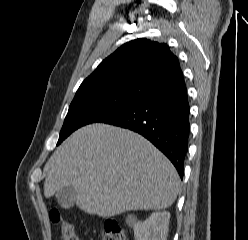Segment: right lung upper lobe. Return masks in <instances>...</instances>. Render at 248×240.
Segmentation results:
<instances>
[{
  "instance_id": "obj_1",
  "label": "right lung upper lobe",
  "mask_w": 248,
  "mask_h": 240,
  "mask_svg": "<svg viewBox=\"0 0 248 240\" xmlns=\"http://www.w3.org/2000/svg\"><path fill=\"white\" fill-rule=\"evenodd\" d=\"M183 83L179 60L168 45L141 38L103 60L79 89L109 88L143 98Z\"/></svg>"
}]
</instances>
